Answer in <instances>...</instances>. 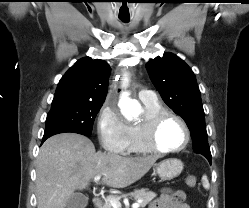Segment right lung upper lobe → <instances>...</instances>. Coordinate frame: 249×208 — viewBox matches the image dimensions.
<instances>
[{
  "instance_id": "1",
  "label": "right lung upper lobe",
  "mask_w": 249,
  "mask_h": 208,
  "mask_svg": "<svg viewBox=\"0 0 249 208\" xmlns=\"http://www.w3.org/2000/svg\"><path fill=\"white\" fill-rule=\"evenodd\" d=\"M109 74L106 61L90 57L78 60L59 81L52 106L72 102L103 103Z\"/></svg>"
}]
</instances>
